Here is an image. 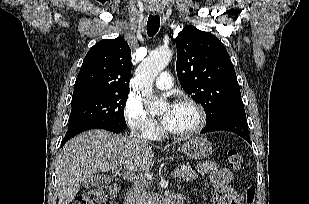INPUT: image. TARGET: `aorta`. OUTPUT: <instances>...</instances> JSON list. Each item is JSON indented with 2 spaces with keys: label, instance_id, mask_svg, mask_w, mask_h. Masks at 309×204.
<instances>
[{
  "label": "aorta",
  "instance_id": "762f6f07",
  "mask_svg": "<svg viewBox=\"0 0 309 204\" xmlns=\"http://www.w3.org/2000/svg\"><path fill=\"white\" fill-rule=\"evenodd\" d=\"M171 57L172 52L168 48L155 50L141 62L136 70L142 96L148 100L147 105L152 112L158 111L162 106V103L153 98V82L156 76L168 65Z\"/></svg>",
  "mask_w": 309,
  "mask_h": 204
}]
</instances>
